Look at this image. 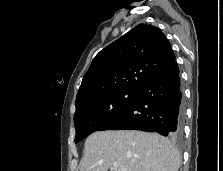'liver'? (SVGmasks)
Wrapping results in <instances>:
<instances>
[{
  "instance_id": "1",
  "label": "liver",
  "mask_w": 223,
  "mask_h": 171,
  "mask_svg": "<svg viewBox=\"0 0 223 171\" xmlns=\"http://www.w3.org/2000/svg\"><path fill=\"white\" fill-rule=\"evenodd\" d=\"M114 163L127 171H178L181 156L156 133L106 130L88 136L80 171H108Z\"/></svg>"
}]
</instances>
